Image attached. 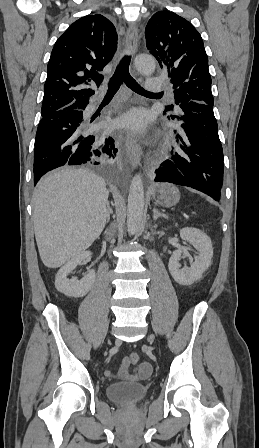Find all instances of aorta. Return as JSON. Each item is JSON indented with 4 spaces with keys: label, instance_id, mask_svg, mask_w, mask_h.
<instances>
[{
    "label": "aorta",
    "instance_id": "1",
    "mask_svg": "<svg viewBox=\"0 0 259 448\" xmlns=\"http://www.w3.org/2000/svg\"><path fill=\"white\" fill-rule=\"evenodd\" d=\"M135 67L143 75H151L156 67L150 55H139L135 58ZM144 211V185L140 174L131 181L127 204V231L134 235L140 228Z\"/></svg>",
    "mask_w": 259,
    "mask_h": 448
}]
</instances>
